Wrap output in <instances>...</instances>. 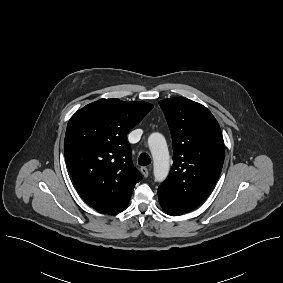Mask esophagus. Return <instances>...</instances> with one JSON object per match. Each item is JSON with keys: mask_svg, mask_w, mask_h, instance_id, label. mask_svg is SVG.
Wrapping results in <instances>:
<instances>
[{"mask_svg": "<svg viewBox=\"0 0 283 283\" xmlns=\"http://www.w3.org/2000/svg\"><path fill=\"white\" fill-rule=\"evenodd\" d=\"M140 171H141V173L143 174L144 177H148L149 170L146 167H141Z\"/></svg>", "mask_w": 283, "mask_h": 283, "instance_id": "34e87169", "label": "esophagus"}]
</instances>
